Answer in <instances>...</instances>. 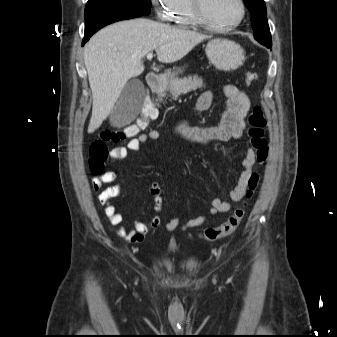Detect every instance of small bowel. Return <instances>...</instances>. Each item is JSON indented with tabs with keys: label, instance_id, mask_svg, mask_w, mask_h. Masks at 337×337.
Instances as JSON below:
<instances>
[{
	"label": "small bowel",
	"instance_id": "1",
	"mask_svg": "<svg viewBox=\"0 0 337 337\" xmlns=\"http://www.w3.org/2000/svg\"><path fill=\"white\" fill-rule=\"evenodd\" d=\"M222 91L226 97V107L222 114L220 123L214 126H193L187 120L179 121L174 127V135L184 141L194 142L203 145L227 142L230 140H238L242 137L246 128V117L250 111V101L247 95L234 85H225ZM213 100L211 91H204L196 99L193 110L196 112L207 111ZM160 138V134L156 130L147 133H141L130 139L126 145L114 146L109 151L111 160L124 159L128 151H138L143 144L148 141H155ZM256 162V155L253 148L249 147L244 153L242 159L243 171L241 172L236 185L230 192V200L239 202L247 192L248 180L252 174V169ZM117 180V174L114 171H106L101 175L93 178L92 188L98 192V203L104 207L105 215L109 223L113 226H119L117 234L130 242L140 243L145 236L151 231L156 230L161 223L160 211L162 209V201L160 198L161 186L157 182L151 183L149 190L155 199V214L149 222L135 220L131 227L122 225L124 221L123 215L117 210L112 199L122 192V186H107ZM231 209L229 201H225L219 197L211 200V206L208 209V215L214 216L219 213L228 212ZM181 216L178 215L170 219L166 223V230L172 232L180 226ZM206 222V216L200 215L188 220L181 225L182 230H188L202 226Z\"/></svg>",
	"mask_w": 337,
	"mask_h": 337
}]
</instances>
